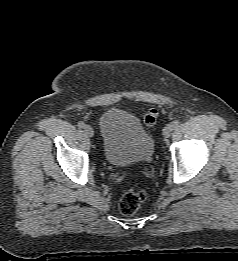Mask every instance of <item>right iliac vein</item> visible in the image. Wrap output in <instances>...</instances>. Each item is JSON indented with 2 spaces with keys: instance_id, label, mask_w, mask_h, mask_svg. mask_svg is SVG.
I'll list each match as a JSON object with an SVG mask.
<instances>
[{
  "instance_id": "right-iliac-vein-1",
  "label": "right iliac vein",
  "mask_w": 238,
  "mask_h": 261,
  "mask_svg": "<svg viewBox=\"0 0 238 261\" xmlns=\"http://www.w3.org/2000/svg\"><path fill=\"white\" fill-rule=\"evenodd\" d=\"M84 131H85L87 136H89V137H93L94 136V130H93V128L91 126L86 125L84 127Z\"/></svg>"
}]
</instances>
